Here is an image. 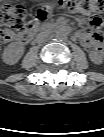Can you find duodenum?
<instances>
[{
  "mask_svg": "<svg viewBox=\"0 0 104 137\" xmlns=\"http://www.w3.org/2000/svg\"><path fill=\"white\" fill-rule=\"evenodd\" d=\"M42 30L43 29H42L41 26L36 25V26H33L32 28H30L28 30L27 35H28L29 38H32L36 35H39L42 32Z\"/></svg>",
  "mask_w": 104,
  "mask_h": 137,
  "instance_id": "duodenum-1",
  "label": "duodenum"
}]
</instances>
